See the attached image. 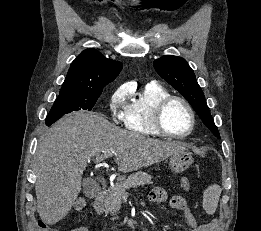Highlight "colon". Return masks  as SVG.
<instances>
[{"label": "colon", "mask_w": 261, "mask_h": 231, "mask_svg": "<svg viewBox=\"0 0 261 231\" xmlns=\"http://www.w3.org/2000/svg\"><path fill=\"white\" fill-rule=\"evenodd\" d=\"M85 206H86V201L84 199H79L73 203L72 209L75 211H79V210L84 209ZM38 227H39L40 231H58L57 228H55L43 221L38 222Z\"/></svg>", "instance_id": "obj_1"}]
</instances>
